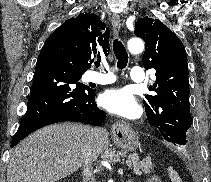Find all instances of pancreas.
<instances>
[{
  "label": "pancreas",
  "instance_id": "1",
  "mask_svg": "<svg viewBox=\"0 0 211 182\" xmlns=\"http://www.w3.org/2000/svg\"><path fill=\"white\" fill-rule=\"evenodd\" d=\"M127 157L126 151H116L113 149H109L105 151L103 154V159L117 163L124 162ZM126 165L131 169L133 168V173L135 175H141L142 173H150L153 169L152 163L150 161H139V157L136 154H132L128 156L126 160Z\"/></svg>",
  "mask_w": 211,
  "mask_h": 182
}]
</instances>
